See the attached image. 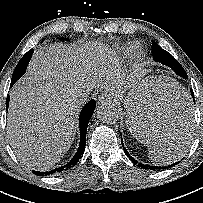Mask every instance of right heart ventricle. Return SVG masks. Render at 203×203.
<instances>
[{"label":"right heart ventricle","instance_id":"right-heart-ventricle-1","mask_svg":"<svg viewBox=\"0 0 203 203\" xmlns=\"http://www.w3.org/2000/svg\"><path fill=\"white\" fill-rule=\"evenodd\" d=\"M134 50V48L133 47H126V48H122V52L123 53H128V52H132Z\"/></svg>","mask_w":203,"mask_h":203}]
</instances>
